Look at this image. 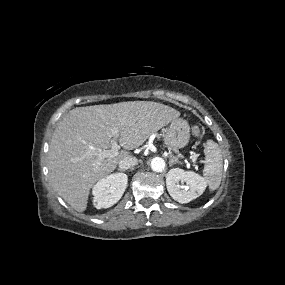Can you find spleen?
<instances>
[{"instance_id": "1", "label": "spleen", "mask_w": 285, "mask_h": 285, "mask_svg": "<svg viewBox=\"0 0 285 285\" xmlns=\"http://www.w3.org/2000/svg\"><path fill=\"white\" fill-rule=\"evenodd\" d=\"M204 155V180L210 190L214 191L220 186L223 172V158L218 144L213 140H208L205 144Z\"/></svg>"}]
</instances>
